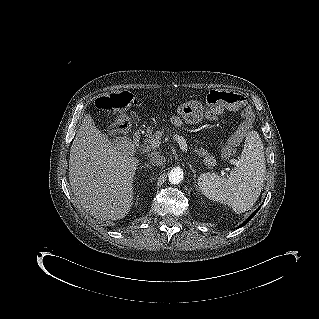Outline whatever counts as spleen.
Returning <instances> with one entry per match:
<instances>
[{"mask_svg":"<svg viewBox=\"0 0 319 319\" xmlns=\"http://www.w3.org/2000/svg\"><path fill=\"white\" fill-rule=\"evenodd\" d=\"M266 162L261 138L250 131L245 139L241 157L227 178L215 173L198 177L201 192L209 199L229 205L236 213L251 208L264 186Z\"/></svg>","mask_w":319,"mask_h":319,"instance_id":"obj_1","label":"spleen"}]
</instances>
